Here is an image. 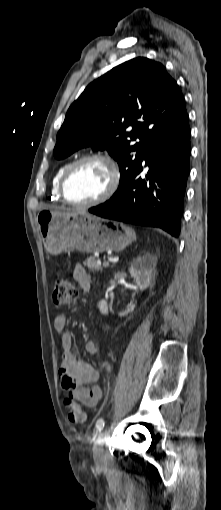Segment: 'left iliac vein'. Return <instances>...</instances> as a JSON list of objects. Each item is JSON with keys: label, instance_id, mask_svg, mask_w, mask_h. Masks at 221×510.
Here are the masks:
<instances>
[{"label": "left iliac vein", "instance_id": "obj_1", "mask_svg": "<svg viewBox=\"0 0 221 510\" xmlns=\"http://www.w3.org/2000/svg\"><path fill=\"white\" fill-rule=\"evenodd\" d=\"M107 437V432H104L100 437L98 443L94 446L93 457L94 461L98 466H102L104 462V449L103 444Z\"/></svg>", "mask_w": 221, "mask_h": 510}]
</instances>
